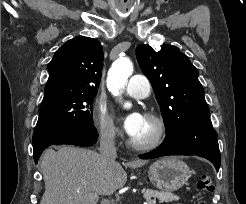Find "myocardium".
I'll return each mask as SVG.
<instances>
[{
  "label": "myocardium",
  "instance_id": "f54148a6",
  "mask_svg": "<svg viewBox=\"0 0 246 204\" xmlns=\"http://www.w3.org/2000/svg\"><path fill=\"white\" fill-rule=\"evenodd\" d=\"M144 117L151 120L155 124L156 131L154 136L152 137V139L146 142H138L129 137L128 145L135 150L150 151L156 149L162 144L166 135L167 128L164 119L154 112H147L145 113Z\"/></svg>",
  "mask_w": 246,
  "mask_h": 204
}]
</instances>
